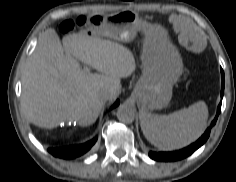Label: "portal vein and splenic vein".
I'll list each match as a JSON object with an SVG mask.
<instances>
[{
	"mask_svg": "<svg viewBox=\"0 0 236 182\" xmlns=\"http://www.w3.org/2000/svg\"><path fill=\"white\" fill-rule=\"evenodd\" d=\"M84 70H85L86 72H89V68H88V67H85Z\"/></svg>",
	"mask_w": 236,
	"mask_h": 182,
	"instance_id": "portal-vein-and-splenic-vein-1",
	"label": "portal vein and splenic vein"
}]
</instances>
